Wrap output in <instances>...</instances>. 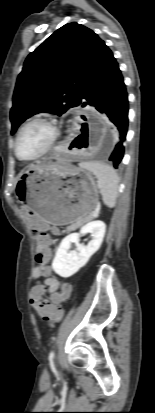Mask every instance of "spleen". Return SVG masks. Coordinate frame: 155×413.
<instances>
[{
    "label": "spleen",
    "mask_w": 155,
    "mask_h": 413,
    "mask_svg": "<svg viewBox=\"0 0 155 413\" xmlns=\"http://www.w3.org/2000/svg\"><path fill=\"white\" fill-rule=\"evenodd\" d=\"M79 166L94 174L103 203L108 208H113L116 204L119 184L115 170L111 166L99 162H81Z\"/></svg>",
    "instance_id": "1"
}]
</instances>
